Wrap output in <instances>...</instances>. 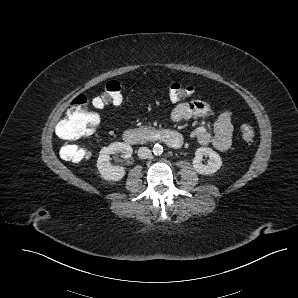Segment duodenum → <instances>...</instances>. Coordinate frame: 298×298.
Segmentation results:
<instances>
[{"label":"duodenum","instance_id":"1","mask_svg":"<svg viewBox=\"0 0 298 298\" xmlns=\"http://www.w3.org/2000/svg\"><path fill=\"white\" fill-rule=\"evenodd\" d=\"M123 140L129 145H141L148 142H163L171 148H180L183 142L182 136L173 130H137L127 129L123 133Z\"/></svg>","mask_w":298,"mask_h":298}]
</instances>
